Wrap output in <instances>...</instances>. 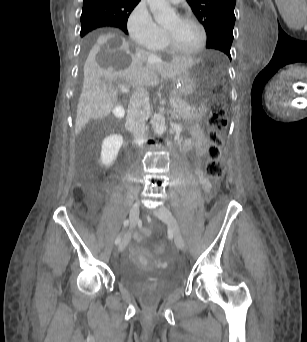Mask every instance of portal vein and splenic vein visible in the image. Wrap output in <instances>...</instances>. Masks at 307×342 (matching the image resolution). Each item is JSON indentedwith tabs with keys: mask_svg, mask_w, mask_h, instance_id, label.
Listing matches in <instances>:
<instances>
[{
	"mask_svg": "<svg viewBox=\"0 0 307 342\" xmlns=\"http://www.w3.org/2000/svg\"><path fill=\"white\" fill-rule=\"evenodd\" d=\"M120 91H121V93H128L129 88H128V86H121ZM173 109H174L175 111H178V110H179V107H178V106H175Z\"/></svg>",
	"mask_w": 307,
	"mask_h": 342,
	"instance_id": "1",
	"label": "portal vein and splenic vein"
}]
</instances>
